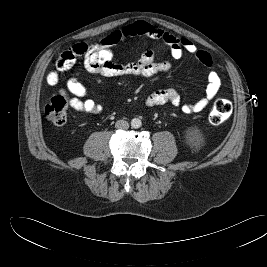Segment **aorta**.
<instances>
[{"label": "aorta", "instance_id": "obj_1", "mask_svg": "<svg viewBox=\"0 0 267 267\" xmlns=\"http://www.w3.org/2000/svg\"><path fill=\"white\" fill-rule=\"evenodd\" d=\"M142 125V122L139 118H133L131 120V127L134 128V129H138L140 128Z\"/></svg>", "mask_w": 267, "mask_h": 267}]
</instances>
